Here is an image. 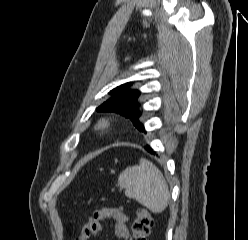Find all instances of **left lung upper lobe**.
<instances>
[{
	"label": "left lung upper lobe",
	"instance_id": "5c2ea615",
	"mask_svg": "<svg viewBox=\"0 0 248 240\" xmlns=\"http://www.w3.org/2000/svg\"><path fill=\"white\" fill-rule=\"evenodd\" d=\"M132 83H126L118 86L110 91L112 97L99 106L96 110L98 112H115L128 119L141 132H145L144 125L139 122L141 112L139 111L140 104L137 99L140 95L138 90H128L127 88ZM146 133V132H145Z\"/></svg>",
	"mask_w": 248,
	"mask_h": 240
}]
</instances>
